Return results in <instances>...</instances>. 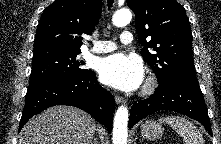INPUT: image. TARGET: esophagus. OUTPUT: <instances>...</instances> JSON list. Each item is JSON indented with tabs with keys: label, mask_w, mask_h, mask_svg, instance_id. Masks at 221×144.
Here are the masks:
<instances>
[{
	"label": "esophagus",
	"mask_w": 221,
	"mask_h": 144,
	"mask_svg": "<svg viewBox=\"0 0 221 144\" xmlns=\"http://www.w3.org/2000/svg\"><path fill=\"white\" fill-rule=\"evenodd\" d=\"M115 101L117 104L124 103V99L121 96L116 95L115 96Z\"/></svg>",
	"instance_id": "34e87169"
}]
</instances>
